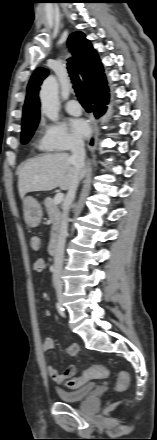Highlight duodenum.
Instances as JSON below:
<instances>
[{
	"mask_svg": "<svg viewBox=\"0 0 157 440\" xmlns=\"http://www.w3.org/2000/svg\"><path fill=\"white\" fill-rule=\"evenodd\" d=\"M56 244L57 242L55 238L50 240L48 251L52 257L56 256Z\"/></svg>",
	"mask_w": 157,
	"mask_h": 440,
	"instance_id": "410a0bca",
	"label": "duodenum"
}]
</instances>
